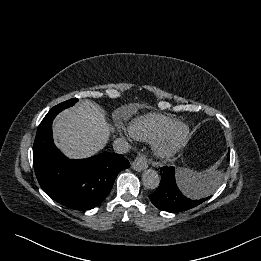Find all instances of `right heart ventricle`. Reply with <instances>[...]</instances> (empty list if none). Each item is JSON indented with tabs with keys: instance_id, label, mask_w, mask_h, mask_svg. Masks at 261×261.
I'll list each match as a JSON object with an SVG mask.
<instances>
[{
	"instance_id": "right-heart-ventricle-1",
	"label": "right heart ventricle",
	"mask_w": 261,
	"mask_h": 261,
	"mask_svg": "<svg viewBox=\"0 0 261 261\" xmlns=\"http://www.w3.org/2000/svg\"><path fill=\"white\" fill-rule=\"evenodd\" d=\"M178 123L180 122L176 119L165 115L149 114L135 119L129 130L135 139L153 142L167 134Z\"/></svg>"
}]
</instances>
